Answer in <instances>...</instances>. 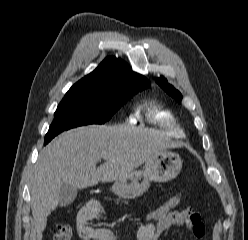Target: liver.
<instances>
[{
  "instance_id": "obj_1",
  "label": "liver",
  "mask_w": 248,
  "mask_h": 240,
  "mask_svg": "<svg viewBox=\"0 0 248 240\" xmlns=\"http://www.w3.org/2000/svg\"><path fill=\"white\" fill-rule=\"evenodd\" d=\"M178 147L154 130L129 125H90L60 134L39 154L33 171L31 210L37 240L59 203L63 185L84 189L123 179L168 148ZM105 162L96 167L100 159Z\"/></svg>"
}]
</instances>
